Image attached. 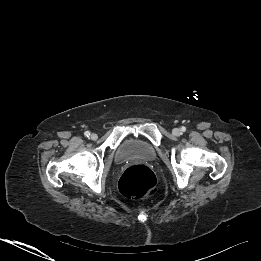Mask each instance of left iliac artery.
I'll return each mask as SVG.
<instances>
[{"instance_id":"1","label":"left iliac artery","mask_w":261,"mask_h":261,"mask_svg":"<svg viewBox=\"0 0 261 261\" xmlns=\"http://www.w3.org/2000/svg\"><path fill=\"white\" fill-rule=\"evenodd\" d=\"M181 131L182 132H185L186 131V128L184 126L181 127Z\"/></svg>"}]
</instances>
